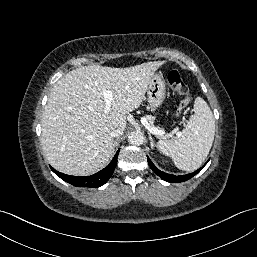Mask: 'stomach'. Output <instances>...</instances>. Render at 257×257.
Returning <instances> with one entry per match:
<instances>
[{"label": "stomach", "instance_id": "1", "mask_svg": "<svg viewBox=\"0 0 257 257\" xmlns=\"http://www.w3.org/2000/svg\"><path fill=\"white\" fill-rule=\"evenodd\" d=\"M165 80L161 73L154 74L147 88V99L152 109L160 107L165 99Z\"/></svg>", "mask_w": 257, "mask_h": 257}]
</instances>
